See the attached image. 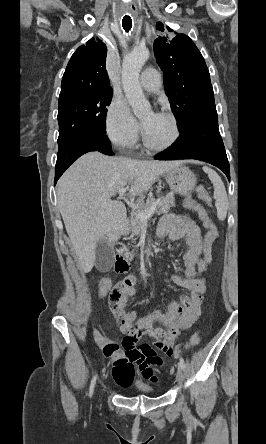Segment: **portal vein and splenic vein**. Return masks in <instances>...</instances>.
Listing matches in <instances>:
<instances>
[{
	"label": "portal vein and splenic vein",
	"instance_id": "1",
	"mask_svg": "<svg viewBox=\"0 0 266 444\" xmlns=\"http://www.w3.org/2000/svg\"><path fill=\"white\" fill-rule=\"evenodd\" d=\"M126 191H127V188H121L117 192V194L119 195V197H122L126 193ZM159 200L160 199L156 200V202L153 203V205L150 207V209L147 212L138 211L136 213V217H139L140 219H143V220H147L148 218H150L152 216V214L155 212Z\"/></svg>",
	"mask_w": 266,
	"mask_h": 444
}]
</instances>
